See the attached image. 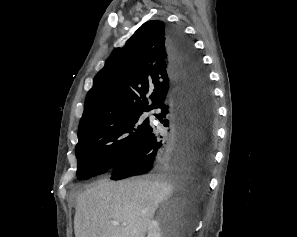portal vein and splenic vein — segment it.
Returning <instances> with one entry per match:
<instances>
[{
    "label": "portal vein and splenic vein",
    "instance_id": "portal-vein-and-splenic-vein-1",
    "mask_svg": "<svg viewBox=\"0 0 297 237\" xmlns=\"http://www.w3.org/2000/svg\"><path fill=\"white\" fill-rule=\"evenodd\" d=\"M113 225H119V223L117 221H112ZM123 225H126V223H123Z\"/></svg>",
    "mask_w": 297,
    "mask_h": 237
}]
</instances>
